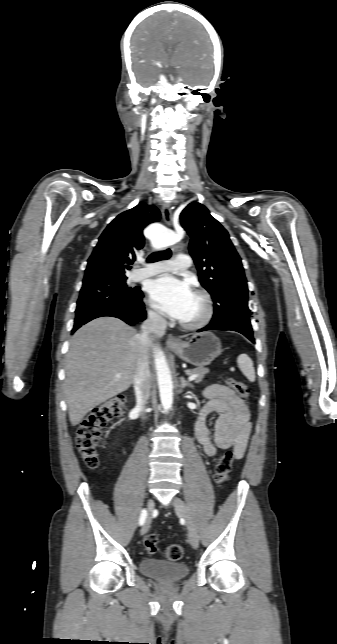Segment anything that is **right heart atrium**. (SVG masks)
Segmentation results:
<instances>
[{"label":"right heart atrium","instance_id":"right-heart-atrium-1","mask_svg":"<svg viewBox=\"0 0 337 644\" xmlns=\"http://www.w3.org/2000/svg\"><path fill=\"white\" fill-rule=\"evenodd\" d=\"M149 316H150V319L155 323H159L162 320L161 316L158 313H156L155 311H150Z\"/></svg>","mask_w":337,"mask_h":644}]
</instances>
